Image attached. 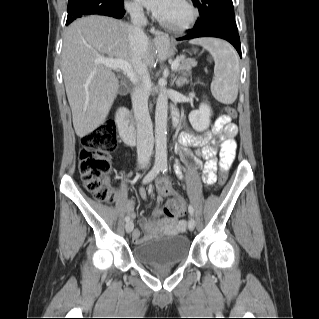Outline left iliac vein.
<instances>
[{
    "label": "left iliac vein",
    "mask_w": 319,
    "mask_h": 319,
    "mask_svg": "<svg viewBox=\"0 0 319 319\" xmlns=\"http://www.w3.org/2000/svg\"><path fill=\"white\" fill-rule=\"evenodd\" d=\"M194 228H195V220H194L193 217H191V218L189 219V221H188V229H189L190 231H193Z\"/></svg>",
    "instance_id": "left-iliac-vein-1"
}]
</instances>
